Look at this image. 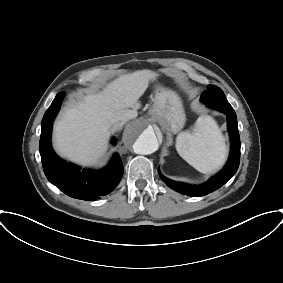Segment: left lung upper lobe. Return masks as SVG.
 Listing matches in <instances>:
<instances>
[{
	"mask_svg": "<svg viewBox=\"0 0 283 283\" xmlns=\"http://www.w3.org/2000/svg\"><path fill=\"white\" fill-rule=\"evenodd\" d=\"M204 94H206L213 100H226L223 91L219 87L214 85H209L208 90L204 91Z\"/></svg>",
	"mask_w": 283,
	"mask_h": 283,
	"instance_id": "left-lung-upper-lobe-1",
	"label": "left lung upper lobe"
}]
</instances>
